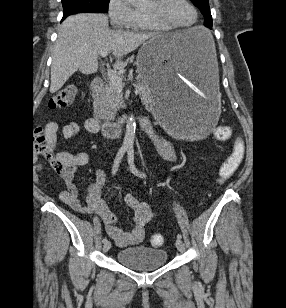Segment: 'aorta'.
I'll return each mask as SVG.
<instances>
[{
    "label": "aorta",
    "instance_id": "1",
    "mask_svg": "<svg viewBox=\"0 0 286 308\" xmlns=\"http://www.w3.org/2000/svg\"><path fill=\"white\" fill-rule=\"evenodd\" d=\"M128 3L132 4H140L146 2L147 0H125ZM135 130H136V123L135 118L131 114L126 122V132L124 137V145L127 147H132L135 139Z\"/></svg>",
    "mask_w": 286,
    "mask_h": 308
}]
</instances>
